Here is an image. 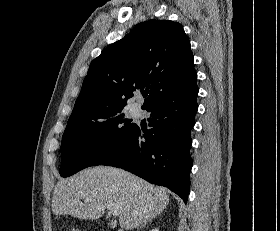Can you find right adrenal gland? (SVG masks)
Here are the masks:
<instances>
[{"label":"right adrenal gland","mask_w":280,"mask_h":231,"mask_svg":"<svg viewBox=\"0 0 280 231\" xmlns=\"http://www.w3.org/2000/svg\"><path fill=\"white\" fill-rule=\"evenodd\" d=\"M156 215H159V213H156ZM156 215H153V217H150V219H147V221H144V223H141V225H139V227H137V229H140V227H146L147 223H149V221H152V219H154V217H156Z\"/></svg>","instance_id":"1"}]
</instances>
